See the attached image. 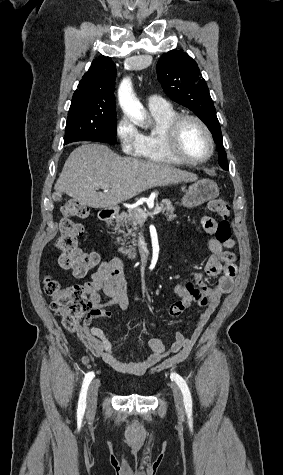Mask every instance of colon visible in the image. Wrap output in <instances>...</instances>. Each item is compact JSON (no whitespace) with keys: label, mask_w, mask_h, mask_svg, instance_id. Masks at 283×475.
Here are the masks:
<instances>
[{"label":"colon","mask_w":283,"mask_h":475,"mask_svg":"<svg viewBox=\"0 0 283 475\" xmlns=\"http://www.w3.org/2000/svg\"><path fill=\"white\" fill-rule=\"evenodd\" d=\"M211 212L218 216L217 224H224V233H216V239L230 241V205L225 198L213 199L209 202ZM62 219L60 222V236L57 239V248L60 251L59 263L64 270L71 271L74 277L82 278L90 274L98 265L99 256L93 252H85L78 244V239L83 234V227L78 220L88 216V207L74 200H67L61 207ZM44 288L51 297V308L58 314L64 328L69 332L80 329L82 317L85 316L88 306V298L81 285H63L59 280L52 277L44 278ZM186 292L179 303L172 304L168 309V315L172 318L181 314L183 309H189L192 297H198V290L191 281L185 282Z\"/></svg>","instance_id":"5ec220e1"}]
</instances>
